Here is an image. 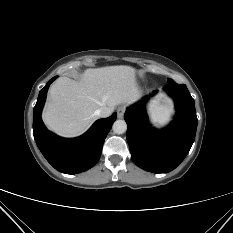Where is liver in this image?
<instances>
[{
	"label": "liver",
	"instance_id": "obj_1",
	"mask_svg": "<svg viewBox=\"0 0 233 233\" xmlns=\"http://www.w3.org/2000/svg\"><path fill=\"white\" fill-rule=\"evenodd\" d=\"M140 97L134 68L124 65L90 68L80 81L60 77L52 84L42 119L56 134L76 137L97 120V109L108 107L113 111L117 105L136 102ZM153 104L160 114H167V107L159 99Z\"/></svg>",
	"mask_w": 233,
	"mask_h": 233
}]
</instances>
